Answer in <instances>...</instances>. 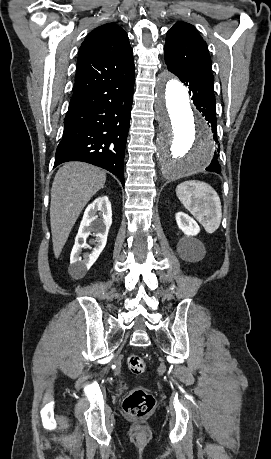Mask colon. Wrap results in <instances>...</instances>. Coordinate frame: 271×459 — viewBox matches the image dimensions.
<instances>
[{"label": "colon", "mask_w": 271, "mask_h": 459, "mask_svg": "<svg viewBox=\"0 0 271 459\" xmlns=\"http://www.w3.org/2000/svg\"><path fill=\"white\" fill-rule=\"evenodd\" d=\"M129 370L136 375L143 374L146 364L143 358L137 354H132L127 359ZM124 413L133 418H142L152 412L155 407L154 396L143 388L132 389L124 398Z\"/></svg>", "instance_id": "colon-1"}]
</instances>
